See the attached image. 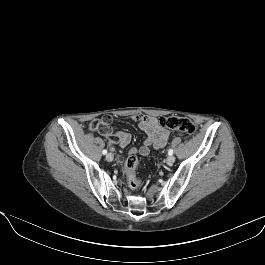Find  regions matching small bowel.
<instances>
[{"mask_svg": "<svg viewBox=\"0 0 265 265\" xmlns=\"http://www.w3.org/2000/svg\"><path fill=\"white\" fill-rule=\"evenodd\" d=\"M129 120L136 123L143 130L147 137L144 144L139 147H133L129 150L130 154H139L147 156L151 150L163 148L169 137V132L158 124V120L141 114L132 115ZM110 142L118 144L121 148L127 147L131 142V135L124 131L112 133H102Z\"/></svg>", "mask_w": 265, "mask_h": 265, "instance_id": "obj_1", "label": "small bowel"}]
</instances>
